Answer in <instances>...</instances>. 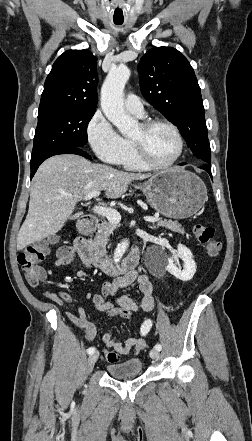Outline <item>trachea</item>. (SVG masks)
<instances>
[{"label":"trachea","instance_id":"1","mask_svg":"<svg viewBox=\"0 0 252 441\" xmlns=\"http://www.w3.org/2000/svg\"><path fill=\"white\" fill-rule=\"evenodd\" d=\"M114 23L117 25H121L123 23V21H114Z\"/></svg>","mask_w":252,"mask_h":441}]
</instances>
